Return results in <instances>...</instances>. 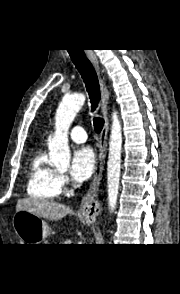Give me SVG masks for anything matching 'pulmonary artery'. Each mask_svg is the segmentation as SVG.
<instances>
[{
    "mask_svg": "<svg viewBox=\"0 0 180 294\" xmlns=\"http://www.w3.org/2000/svg\"><path fill=\"white\" fill-rule=\"evenodd\" d=\"M70 137L76 143H83L87 139V134L82 127L76 126L71 130Z\"/></svg>",
    "mask_w": 180,
    "mask_h": 294,
    "instance_id": "e3ab8cb5",
    "label": "pulmonary artery"
}]
</instances>
